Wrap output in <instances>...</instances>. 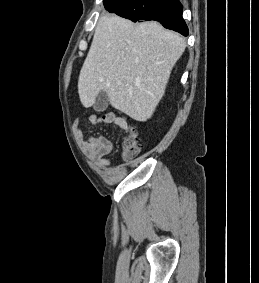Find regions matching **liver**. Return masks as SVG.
<instances>
[{
    "mask_svg": "<svg viewBox=\"0 0 259 283\" xmlns=\"http://www.w3.org/2000/svg\"><path fill=\"white\" fill-rule=\"evenodd\" d=\"M185 46L179 34L157 22L134 24L116 15L101 16L78 79L82 105L91 107L105 91L112 107L147 121Z\"/></svg>",
    "mask_w": 259,
    "mask_h": 283,
    "instance_id": "obj_1",
    "label": "liver"
}]
</instances>
